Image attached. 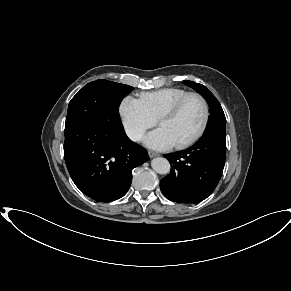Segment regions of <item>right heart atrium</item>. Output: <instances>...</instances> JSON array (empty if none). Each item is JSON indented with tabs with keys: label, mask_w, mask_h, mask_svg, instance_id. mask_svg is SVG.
<instances>
[{
	"label": "right heart atrium",
	"mask_w": 291,
	"mask_h": 291,
	"mask_svg": "<svg viewBox=\"0 0 291 291\" xmlns=\"http://www.w3.org/2000/svg\"><path fill=\"white\" fill-rule=\"evenodd\" d=\"M119 114L127 136L133 141L141 140L144 133L155 124L140 99L131 95L123 98Z\"/></svg>",
	"instance_id": "d8ad5b80"
}]
</instances>
